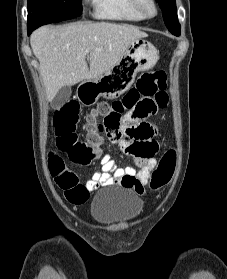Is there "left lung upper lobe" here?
Segmentation results:
<instances>
[{
    "label": "left lung upper lobe",
    "mask_w": 227,
    "mask_h": 279,
    "mask_svg": "<svg viewBox=\"0 0 227 279\" xmlns=\"http://www.w3.org/2000/svg\"><path fill=\"white\" fill-rule=\"evenodd\" d=\"M162 10L165 25L174 35H180V24L177 18L175 0H156Z\"/></svg>",
    "instance_id": "1"
}]
</instances>
